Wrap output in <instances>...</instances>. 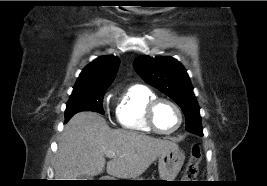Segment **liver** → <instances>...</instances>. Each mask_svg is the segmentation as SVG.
<instances>
[{
  "mask_svg": "<svg viewBox=\"0 0 267 186\" xmlns=\"http://www.w3.org/2000/svg\"><path fill=\"white\" fill-rule=\"evenodd\" d=\"M176 143L126 130L111 129L98 113L79 112L65 125L55 161L56 180H77L103 173L105 153L115 152L106 171L117 178L144 173L162 153Z\"/></svg>",
  "mask_w": 267,
  "mask_h": 186,
  "instance_id": "liver-1",
  "label": "liver"
}]
</instances>
